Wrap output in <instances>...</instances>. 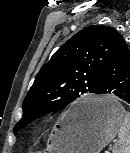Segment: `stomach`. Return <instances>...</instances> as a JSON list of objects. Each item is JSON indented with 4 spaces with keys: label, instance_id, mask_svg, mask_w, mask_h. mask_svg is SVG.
Returning a JSON list of instances; mask_svg holds the SVG:
<instances>
[{
    "label": "stomach",
    "instance_id": "stomach-1",
    "mask_svg": "<svg viewBox=\"0 0 130 153\" xmlns=\"http://www.w3.org/2000/svg\"><path fill=\"white\" fill-rule=\"evenodd\" d=\"M48 141V153H99L118 133L125 117L122 105L111 96L79 100ZM87 108L88 116L77 118L75 111Z\"/></svg>",
    "mask_w": 130,
    "mask_h": 153
}]
</instances>
